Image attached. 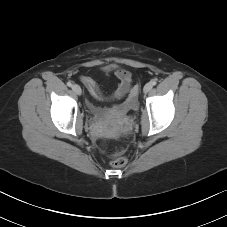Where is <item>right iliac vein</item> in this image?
<instances>
[{"mask_svg": "<svg viewBox=\"0 0 227 227\" xmlns=\"http://www.w3.org/2000/svg\"><path fill=\"white\" fill-rule=\"evenodd\" d=\"M72 90L77 94V95H81L82 93V90H81V87L77 84H74L72 86Z\"/></svg>", "mask_w": 227, "mask_h": 227, "instance_id": "1", "label": "right iliac vein"}]
</instances>
